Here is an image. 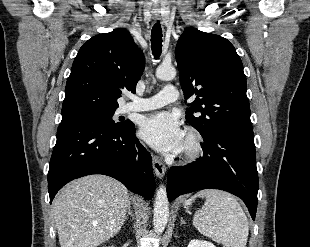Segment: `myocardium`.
I'll return each instance as SVG.
<instances>
[{
  "label": "myocardium",
  "instance_id": "myocardium-1",
  "mask_svg": "<svg viewBox=\"0 0 310 247\" xmlns=\"http://www.w3.org/2000/svg\"><path fill=\"white\" fill-rule=\"evenodd\" d=\"M203 152V138L200 132L189 128L186 132L185 141L181 148L182 156L187 160L197 159Z\"/></svg>",
  "mask_w": 310,
  "mask_h": 247
}]
</instances>
